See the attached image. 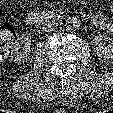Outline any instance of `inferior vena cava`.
<instances>
[{"label":"inferior vena cava","instance_id":"obj_1","mask_svg":"<svg viewBox=\"0 0 113 113\" xmlns=\"http://www.w3.org/2000/svg\"><path fill=\"white\" fill-rule=\"evenodd\" d=\"M58 27V23L55 21H46L42 24V30L44 32H51Z\"/></svg>","mask_w":113,"mask_h":113}]
</instances>
